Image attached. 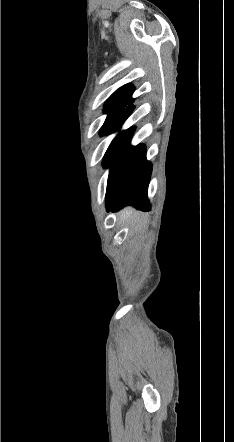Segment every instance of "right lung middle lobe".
Instances as JSON below:
<instances>
[{"label": "right lung middle lobe", "instance_id": "dd1d6c3e", "mask_svg": "<svg viewBox=\"0 0 234 442\" xmlns=\"http://www.w3.org/2000/svg\"><path fill=\"white\" fill-rule=\"evenodd\" d=\"M117 116L116 115H109L105 121V123L103 124L101 130H100V135H105L107 133V131L109 130V128L111 127V125L114 123V121L116 120Z\"/></svg>", "mask_w": 234, "mask_h": 442}]
</instances>
